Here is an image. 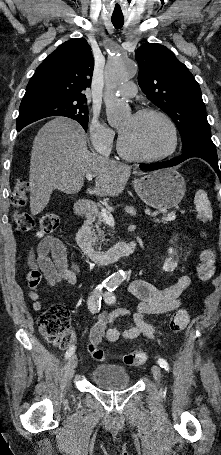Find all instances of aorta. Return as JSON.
Here are the masks:
<instances>
[{
  "mask_svg": "<svg viewBox=\"0 0 221 455\" xmlns=\"http://www.w3.org/2000/svg\"><path fill=\"white\" fill-rule=\"evenodd\" d=\"M137 64L131 60L115 58L108 61L105 69L104 102L108 123L118 125L130 114V108L125 101L114 96L115 88L135 76ZM124 277V271L119 270L111 275L110 283H118Z\"/></svg>",
  "mask_w": 221,
  "mask_h": 455,
  "instance_id": "1",
  "label": "aorta"
}]
</instances>
